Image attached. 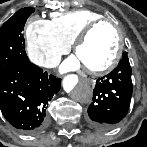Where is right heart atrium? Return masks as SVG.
Returning <instances> with one entry per match:
<instances>
[{
  "mask_svg": "<svg viewBox=\"0 0 147 147\" xmlns=\"http://www.w3.org/2000/svg\"><path fill=\"white\" fill-rule=\"evenodd\" d=\"M26 42L30 60L43 68L53 67L68 50V45L54 35L51 22L38 18H32L28 23Z\"/></svg>",
  "mask_w": 147,
  "mask_h": 147,
  "instance_id": "obj_1",
  "label": "right heart atrium"
}]
</instances>
